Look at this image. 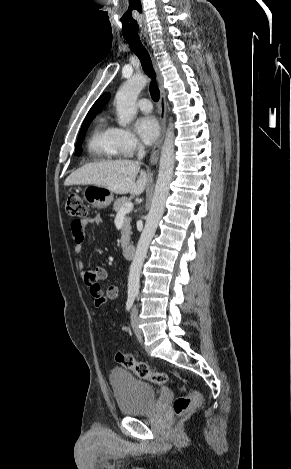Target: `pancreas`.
<instances>
[{
	"instance_id": "cf45deb5",
	"label": "pancreas",
	"mask_w": 291,
	"mask_h": 469,
	"mask_svg": "<svg viewBox=\"0 0 291 469\" xmlns=\"http://www.w3.org/2000/svg\"><path fill=\"white\" fill-rule=\"evenodd\" d=\"M130 201L127 197H121L118 198L113 205V210L115 212H119L120 209ZM130 217H126L124 219L123 225H122V231H121V245L125 246L129 240H130V233H131V227H130Z\"/></svg>"
}]
</instances>
